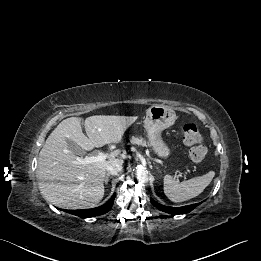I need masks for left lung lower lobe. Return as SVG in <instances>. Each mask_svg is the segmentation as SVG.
<instances>
[{
	"instance_id": "1",
	"label": "left lung lower lobe",
	"mask_w": 261,
	"mask_h": 261,
	"mask_svg": "<svg viewBox=\"0 0 261 261\" xmlns=\"http://www.w3.org/2000/svg\"><path fill=\"white\" fill-rule=\"evenodd\" d=\"M150 201L152 203V205H154L156 208H158L159 210L169 213V214H186L189 213L190 211H192L196 206L199 205V203L196 204H192V205H188V206H183V207H168V206H164L161 205L159 203H157L156 201H154L152 198H150Z\"/></svg>"
}]
</instances>
